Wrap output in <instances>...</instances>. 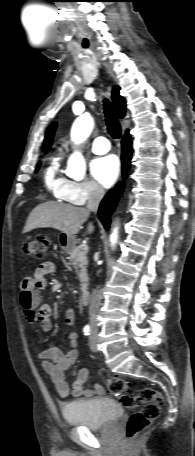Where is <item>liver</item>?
<instances>
[{"instance_id": "6515ba94", "label": "liver", "mask_w": 195, "mask_h": 456, "mask_svg": "<svg viewBox=\"0 0 195 456\" xmlns=\"http://www.w3.org/2000/svg\"><path fill=\"white\" fill-rule=\"evenodd\" d=\"M89 215L90 212L83 207L57 202L42 203L31 211L24 232L37 228H53L73 236L79 232L81 225ZM93 230V224L90 223L85 234H90Z\"/></svg>"}]
</instances>
